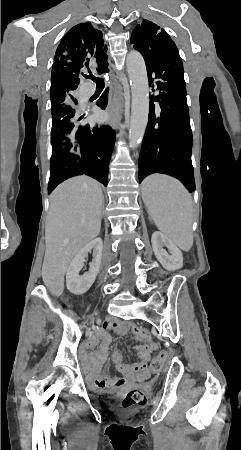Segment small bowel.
<instances>
[{"instance_id": "1", "label": "small bowel", "mask_w": 241, "mask_h": 450, "mask_svg": "<svg viewBox=\"0 0 241 450\" xmlns=\"http://www.w3.org/2000/svg\"><path fill=\"white\" fill-rule=\"evenodd\" d=\"M111 332L119 335L132 333L133 339L137 341L136 350L138 362L127 364L123 360L120 351H115L112 355L114 367L122 376H113L109 373L101 374L102 364L106 361L108 347L111 342ZM99 343V348L94 352L93 356H84L83 364L88 370V377L91 386L99 389L106 388H123L136 384L146 383L151 372L148 366L152 353L159 348L158 343L153 339L149 330L132 321L112 320L105 323L98 332L96 339L87 340L83 346L87 349L93 348Z\"/></svg>"}]
</instances>
